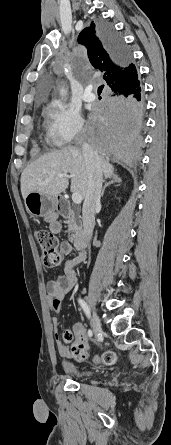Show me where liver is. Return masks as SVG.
Instances as JSON below:
<instances>
[{"label": "liver", "instance_id": "liver-1", "mask_svg": "<svg viewBox=\"0 0 171 445\" xmlns=\"http://www.w3.org/2000/svg\"><path fill=\"white\" fill-rule=\"evenodd\" d=\"M102 173L106 178L114 175V167L100 157ZM70 174L71 191L85 198L88 187V171L83 152L78 147H66L50 152L28 165L21 175L23 199L30 192L57 197L69 185L67 178H57L59 174Z\"/></svg>", "mask_w": 171, "mask_h": 445}]
</instances>
